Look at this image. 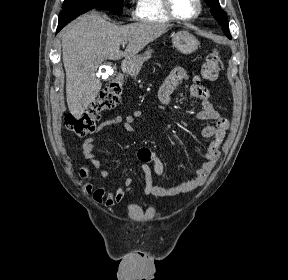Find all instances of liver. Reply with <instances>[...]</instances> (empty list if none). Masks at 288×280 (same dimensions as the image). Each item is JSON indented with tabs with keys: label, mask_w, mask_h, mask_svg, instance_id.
I'll return each mask as SVG.
<instances>
[{
	"label": "liver",
	"mask_w": 288,
	"mask_h": 280,
	"mask_svg": "<svg viewBox=\"0 0 288 280\" xmlns=\"http://www.w3.org/2000/svg\"><path fill=\"white\" fill-rule=\"evenodd\" d=\"M169 27V24L152 22L119 26L110 23L96 11L79 17L62 36L69 111L80 118L95 100L102 87L96 71L105 59L134 57ZM123 42H128V45L121 51Z\"/></svg>",
	"instance_id": "1"
}]
</instances>
